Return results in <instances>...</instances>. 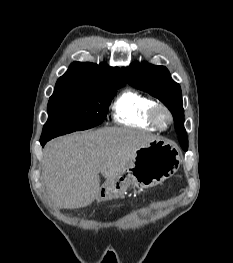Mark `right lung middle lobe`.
<instances>
[{
    "mask_svg": "<svg viewBox=\"0 0 233 263\" xmlns=\"http://www.w3.org/2000/svg\"><path fill=\"white\" fill-rule=\"evenodd\" d=\"M118 88L120 87L97 93L51 96L48 102V120L40 140H50L101 124Z\"/></svg>",
    "mask_w": 233,
    "mask_h": 263,
    "instance_id": "1",
    "label": "right lung middle lobe"
}]
</instances>
